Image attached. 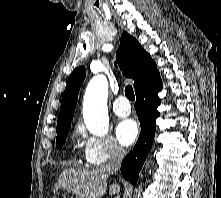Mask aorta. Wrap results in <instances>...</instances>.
I'll return each instance as SVG.
<instances>
[{"label":"aorta","mask_w":221,"mask_h":198,"mask_svg":"<svg viewBox=\"0 0 221 198\" xmlns=\"http://www.w3.org/2000/svg\"><path fill=\"white\" fill-rule=\"evenodd\" d=\"M108 81L104 75L94 76L87 85L83 101V118L87 129L96 136H105L109 129L107 110ZM138 193L137 198H139Z\"/></svg>","instance_id":"1"}]
</instances>
